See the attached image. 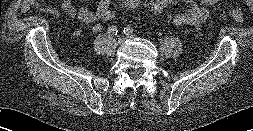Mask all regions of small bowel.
<instances>
[{"instance_id": "c3829d8e", "label": "small bowel", "mask_w": 253, "mask_h": 131, "mask_svg": "<svg viewBox=\"0 0 253 131\" xmlns=\"http://www.w3.org/2000/svg\"><path fill=\"white\" fill-rule=\"evenodd\" d=\"M188 5V9L173 18V23L176 26L187 25L195 30H198L202 23L208 18L209 10L216 5L219 0H184ZM112 0H99L95 9L87 8L77 9L72 0H61V7L63 11L70 17H77L78 20L84 24H93V31L100 32L102 26L100 25L101 14L110 8ZM34 5L33 0H25L22 5V11H28ZM47 12L51 15L58 16L57 8H48ZM81 34L80 28L73 30L74 36Z\"/></svg>"}]
</instances>
